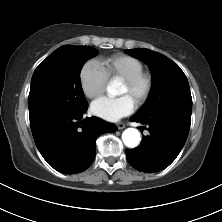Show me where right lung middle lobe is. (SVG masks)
Returning <instances> with one entry per match:
<instances>
[{
  "label": "right lung middle lobe",
  "mask_w": 222,
  "mask_h": 222,
  "mask_svg": "<svg viewBox=\"0 0 222 222\" xmlns=\"http://www.w3.org/2000/svg\"><path fill=\"white\" fill-rule=\"evenodd\" d=\"M98 54L89 46L65 45L42 61L32 76L28 107L30 117L47 111L77 112L87 108L80 71Z\"/></svg>",
  "instance_id": "obj_1"
}]
</instances>
